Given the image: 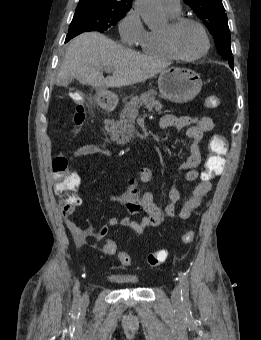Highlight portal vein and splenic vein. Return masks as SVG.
I'll list each match as a JSON object with an SVG mask.
<instances>
[{"label": "portal vein and splenic vein", "instance_id": "portal-vein-and-splenic-vein-1", "mask_svg": "<svg viewBox=\"0 0 261 340\" xmlns=\"http://www.w3.org/2000/svg\"><path fill=\"white\" fill-rule=\"evenodd\" d=\"M106 72H111L112 70L110 68L105 69Z\"/></svg>", "mask_w": 261, "mask_h": 340}]
</instances>
